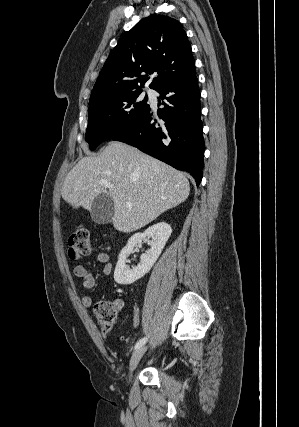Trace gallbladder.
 Wrapping results in <instances>:
<instances>
[{
	"label": "gallbladder",
	"mask_w": 299,
	"mask_h": 427,
	"mask_svg": "<svg viewBox=\"0 0 299 427\" xmlns=\"http://www.w3.org/2000/svg\"><path fill=\"white\" fill-rule=\"evenodd\" d=\"M114 215L113 199L108 194H100L92 202L90 210L91 219L97 224L111 222Z\"/></svg>",
	"instance_id": "gallbladder-1"
}]
</instances>
